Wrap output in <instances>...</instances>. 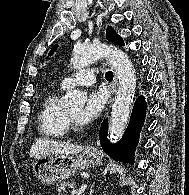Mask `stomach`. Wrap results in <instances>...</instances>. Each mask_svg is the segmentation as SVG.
<instances>
[{
	"label": "stomach",
	"instance_id": "stomach-1",
	"mask_svg": "<svg viewBox=\"0 0 189 195\" xmlns=\"http://www.w3.org/2000/svg\"><path fill=\"white\" fill-rule=\"evenodd\" d=\"M101 161L99 150L85 147L75 155L49 154L38 158L33 164V172L44 184L61 182L74 175L77 170L94 167Z\"/></svg>",
	"mask_w": 189,
	"mask_h": 195
}]
</instances>
